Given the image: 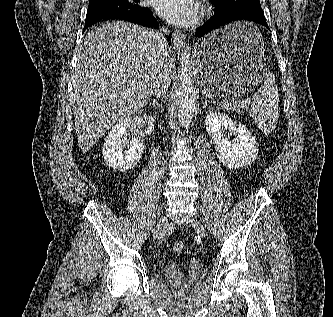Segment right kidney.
<instances>
[{"mask_svg":"<svg viewBox=\"0 0 333 317\" xmlns=\"http://www.w3.org/2000/svg\"><path fill=\"white\" fill-rule=\"evenodd\" d=\"M144 125L145 120L134 116L125 118L112 127L103 145V157L107 166L118 171H128L137 165L144 153V140L141 137L133 138L129 150L123 151L126 145L123 136L134 126Z\"/></svg>","mask_w":333,"mask_h":317,"instance_id":"1","label":"right kidney"}]
</instances>
